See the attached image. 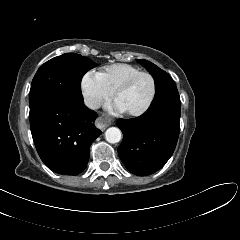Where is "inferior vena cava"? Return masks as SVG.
<instances>
[{
  "mask_svg": "<svg viewBox=\"0 0 240 240\" xmlns=\"http://www.w3.org/2000/svg\"><path fill=\"white\" fill-rule=\"evenodd\" d=\"M85 105L90 109H98L101 106V101L97 98L86 97L84 99Z\"/></svg>",
  "mask_w": 240,
  "mask_h": 240,
  "instance_id": "obj_1",
  "label": "inferior vena cava"
}]
</instances>
